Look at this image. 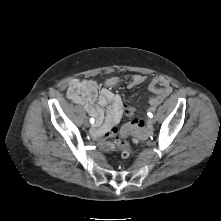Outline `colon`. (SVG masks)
<instances>
[{
    "label": "colon",
    "mask_w": 221,
    "mask_h": 221,
    "mask_svg": "<svg viewBox=\"0 0 221 221\" xmlns=\"http://www.w3.org/2000/svg\"><path fill=\"white\" fill-rule=\"evenodd\" d=\"M142 127V121L130 120L127 124H124L123 128L118 132V137L120 139H117L114 142H101L100 148L104 151L119 150L121 151L123 158H128L131 155V150L126 140L131 139L132 132H135L136 135L141 136Z\"/></svg>",
    "instance_id": "1"
}]
</instances>
